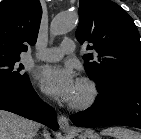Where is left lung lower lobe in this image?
I'll return each mask as SVG.
<instances>
[{
    "mask_svg": "<svg viewBox=\"0 0 141 139\" xmlns=\"http://www.w3.org/2000/svg\"><path fill=\"white\" fill-rule=\"evenodd\" d=\"M79 127L126 125L141 128V83H121L107 92H100L87 110L72 115Z\"/></svg>",
    "mask_w": 141,
    "mask_h": 139,
    "instance_id": "1",
    "label": "left lung lower lobe"
}]
</instances>
